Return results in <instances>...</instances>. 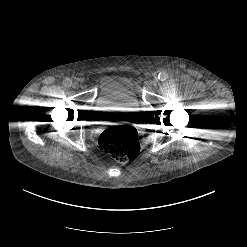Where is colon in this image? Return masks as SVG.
<instances>
[{"mask_svg":"<svg viewBox=\"0 0 247 247\" xmlns=\"http://www.w3.org/2000/svg\"><path fill=\"white\" fill-rule=\"evenodd\" d=\"M100 148L119 162L132 160L140 151L137 131L131 126H118L104 130L98 139Z\"/></svg>","mask_w":247,"mask_h":247,"instance_id":"5ec220e1","label":"colon"}]
</instances>
